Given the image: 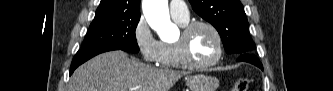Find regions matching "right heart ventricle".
<instances>
[{
    "mask_svg": "<svg viewBox=\"0 0 333 91\" xmlns=\"http://www.w3.org/2000/svg\"><path fill=\"white\" fill-rule=\"evenodd\" d=\"M176 23H178L180 26H184L189 22V19L187 20H181L174 18ZM159 64L163 67L167 68H182L184 67L178 57V49L176 42L169 43V42H161V56Z\"/></svg>",
    "mask_w": 333,
    "mask_h": 91,
    "instance_id": "right-heart-ventricle-1",
    "label": "right heart ventricle"
}]
</instances>
